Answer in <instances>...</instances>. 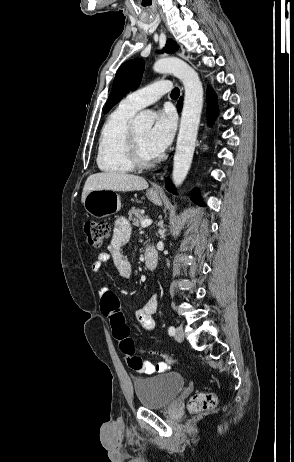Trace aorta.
Returning a JSON list of instances; mask_svg holds the SVG:
<instances>
[{
    "mask_svg": "<svg viewBox=\"0 0 294 462\" xmlns=\"http://www.w3.org/2000/svg\"><path fill=\"white\" fill-rule=\"evenodd\" d=\"M153 69L158 73H172L184 85L185 97L182 110L176 152L174 155L172 179L180 186L190 169L203 107V87L197 72L178 58H163L155 62ZM135 128H150L152 121L145 113L133 121Z\"/></svg>",
    "mask_w": 294,
    "mask_h": 462,
    "instance_id": "1",
    "label": "aorta"
}]
</instances>
